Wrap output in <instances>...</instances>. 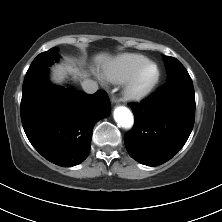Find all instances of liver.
I'll list each match as a JSON object with an SVG mask.
<instances>
[{"label": "liver", "mask_w": 222, "mask_h": 222, "mask_svg": "<svg viewBox=\"0 0 222 222\" xmlns=\"http://www.w3.org/2000/svg\"><path fill=\"white\" fill-rule=\"evenodd\" d=\"M95 62L97 64L108 65L110 63V56L106 53H100L95 56ZM67 73H74L82 78H86L88 76L87 73L79 72L78 69H74L69 65H57L53 68V80L59 83L64 79Z\"/></svg>", "instance_id": "liver-1"}]
</instances>
